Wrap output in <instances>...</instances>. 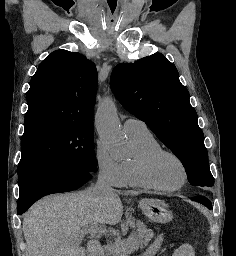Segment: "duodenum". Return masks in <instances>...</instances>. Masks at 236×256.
<instances>
[{"label":"duodenum","mask_w":236,"mask_h":256,"mask_svg":"<svg viewBox=\"0 0 236 256\" xmlns=\"http://www.w3.org/2000/svg\"><path fill=\"white\" fill-rule=\"evenodd\" d=\"M97 256H111V253L107 246H103L99 249Z\"/></svg>","instance_id":"obj_1"}]
</instances>
